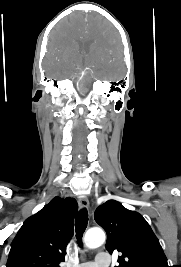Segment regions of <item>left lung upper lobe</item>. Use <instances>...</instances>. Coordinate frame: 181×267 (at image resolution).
I'll return each instance as SVG.
<instances>
[{
  "instance_id": "left-lung-upper-lobe-1",
  "label": "left lung upper lobe",
  "mask_w": 181,
  "mask_h": 267,
  "mask_svg": "<svg viewBox=\"0 0 181 267\" xmlns=\"http://www.w3.org/2000/svg\"><path fill=\"white\" fill-rule=\"evenodd\" d=\"M94 218L107 233L109 253H122L118 267H169L159 240L139 213L108 200L96 209Z\"/></svg>"
}]
</instances>
